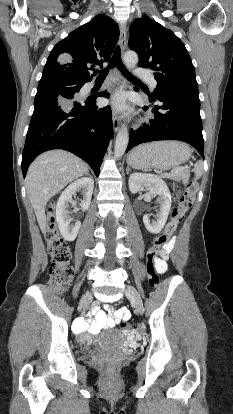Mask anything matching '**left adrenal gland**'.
<instances>
[{"label":"left adrenal gland","instance_id":"1","mask_svg":"<svg viewBox=\"0 0 233 414\" xmlns=\"http://www.w3.org/2000/svg\"><path fill=\"white\" fill-rule=\"evenodd\" d=\"M129 171H130V168H129V166H127V168H126V173L128 174V173H129Z\"/></svg>","mask_w":233,"mask_h":414}]
</instances>
